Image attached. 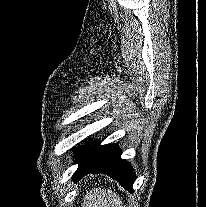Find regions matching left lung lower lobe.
<instances>
[{"label":"left lung lower lobe","mask_w":206,"mask_h":207,"mask_svg":"<svg viewBox=\"0 0 206 207\" xmlns=\"http://www.w3.org/2000/svg\"><path fill=\"white\" fill-rule=\"evenodd\" d=\"M121 151L114 144L91 145L88 143L82 149H79L76 154L75 163L79 164L78 169L73 175V181L80 180L83 176L89 173H103L120 182L121 186L133 192V183L135 174L131 165L121 159Z\"/></svg>","instance_id":"left-lung-lower-lobe-1"}]
</instances>
